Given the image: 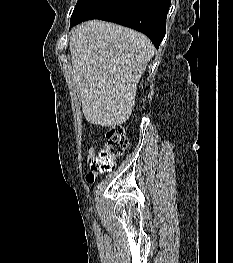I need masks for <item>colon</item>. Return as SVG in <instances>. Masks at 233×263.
<instances>
[{
	"instance_id": "colon-1",
	"label": "colon",
	"mask_w": 233,
	"mask_h": 263,
	"mask_svg": "<svg viewBox=\"0 0 233 263\" xmlns=\"http://www.w3.org/2000/svg\"><path fill=\"white\" fill-rule=\"evenodd\" d=\"M105 144L91 161V171L87 180L92 182L96 175L111 171L114 168L115 160L121 156L128 146L126 131L121 125H114L106 129Z\"/></svg>"
}]
</instances>
